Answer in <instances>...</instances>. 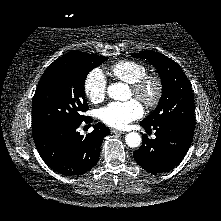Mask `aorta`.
I'll list each match as a JSON object with an SVG mask.
<instances>
[{
    "label": "aorta",
    "instance_id": "obj_1",
    "mask_svg": "<svg viewBox=\"0 0 221 221\" xmlns=\"http://www.w3.org/2000/svg\"><path fill=\"white\" fill-rule=\"evenodd\" d=\"M107 93L114 100H126L129 96V89L126 84L114 83L109 85ZM126 144L131 148H136L141 144V137L136 132H130L125 136Z\"/></svg>",
    "mask_w": 221,
    "mask_h": 221
}]
</instances>
